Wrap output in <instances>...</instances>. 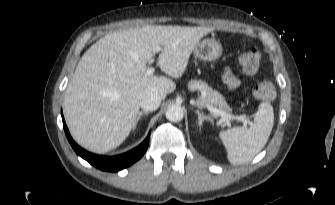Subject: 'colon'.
<instances>
[{"mask_svg": "<svg viewBox=\"0 0 335 205\" xmlns=\"http://www.w3.org/2000/svg\"><path fill=\"white\" fill-rule=\"evenodd\" d=\"M261 55L257 49H250L239 58L242 71L248 75H254L260 67ZM254 95L261 100H272L276 96V88L271 80L264 79L253 87Z\"/></svg>", "mask_w": 335, "mask_h": 205, "instance_id": "obj_1", "label": "colon"}]
</instances>
